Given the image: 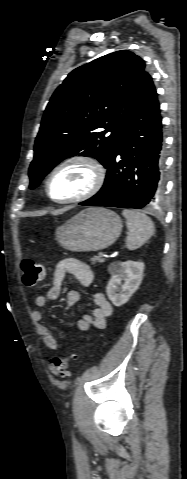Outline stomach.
Masks as SVG:
<instances>
[{"label":"stomach","mask_w":187,"mask_h":479,"mask_svg":"<svg viewBox=\"0 0 187 479\" xmlns=\"http://www.w3.org/2000/svg\"><path fill=\"white\" fill-rule=\"evenodd\" d=\"M122 220L106 208H88L56 229L58 243L76 252L98 251L112 245L120 236Z\"/></svg>","instance_id":"stomach-1"}]
</instances>
